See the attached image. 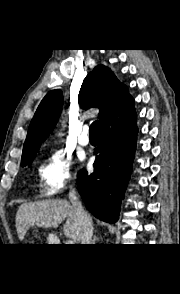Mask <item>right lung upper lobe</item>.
I'll return each instance as SVG.
<instances>
[{
	"instance_id": "1",
	"label": "right lung upper lobe",
	"mask_w": 180,
	"mask_h": 294,
	"mask_svg": "<svg viewBox=\"0 0 180 294\" xmlns=\"http://www.w3.org/2000/svg\"><path fill=\"white\" fill-rule=\"evenodd\" d=\"M131 95L113 72L98 65L84 79L79 92V103L82 108L97 107L100 109L101 122L110 114L125 105ZM63 105L61 90L50 91L41 101L30 123L27 138L24 143L22 161L32 156L40 148L56 125Z\"/></svg>"
}]
</instances>
